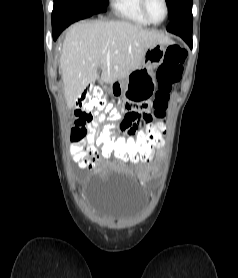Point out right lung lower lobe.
I'll list each match as a JSON object with an SVG mask.
<instances>
[{"label":"right lung lower lobe","mask_w":238,"mask_h":278,"mask_svg":"<svg viewBox=\"0 0 238 278\" xmlns=\"http://www.w3.org/2000/svg\"><path fill=\"white\" fill-rule=\"evenodd\" d=\"M92 15L91 11L75 2H55L52 12L53 39L56 40L59 34L70 24Z\"/></svg>","instance_id":"right-lung-lower-lobe-1"}]
</instances>
